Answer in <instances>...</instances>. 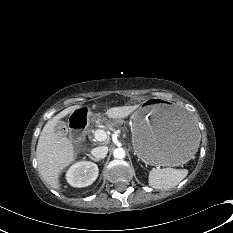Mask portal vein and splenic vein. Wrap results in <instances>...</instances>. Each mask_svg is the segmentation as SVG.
<instances>
[{
    "instance_id": "18ae733b",
    "label": "portal vein and splenic vein",
    "mask_w": 233,
    "mask_h": 233,
    "mask_svg": "<svg viewBox=\"0 0 233 233\" xmlns=\"http://www.w3.org/2000/svg\"><path fill=\"white\" fill-rule=\"evenodd\" d=\"M94 137H95L96 141L103 142L107 139V134L104 130L98 129L95 131Z\"/></svg>"
}]
</instances>
